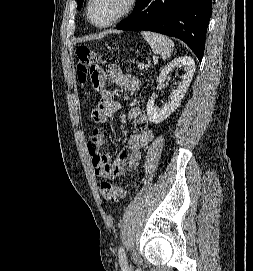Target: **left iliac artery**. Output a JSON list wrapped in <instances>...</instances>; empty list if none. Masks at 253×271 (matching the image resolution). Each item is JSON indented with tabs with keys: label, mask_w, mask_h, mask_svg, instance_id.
Here are the masks:
<instances>
[{
	"label": "left iliac artery",
	"mask_w": 253,
	"mask_h": 271,
	"mask_svg": "<svg viewBox=\"0 0 253 271\" xmlns=\"http://www.w3.org/2000/svg\"><path fill=\"white\" fill-rule=\"evenodd\" d=\"M118 255H119V262H120L121 267L124 270H126L127 269V259H126V254H125L123 247L119 248Z\"/></svg>",
	"instance_id": "obj_1"
}]
</instances>
